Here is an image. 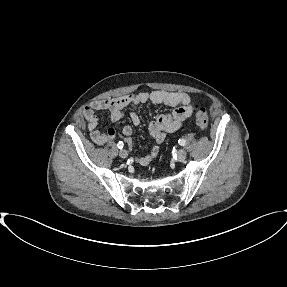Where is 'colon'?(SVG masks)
<instances>
[{
	"instance_id": "1",
	"label": "colon",
	"mask_w": 287,
	"mask_h": 287,
	"mask_svg": "<svg viewBox=\"0 0 287 287\" xmlns=\"http://www.w3.org/2000/svg\"><path fill=\"white\" fill-rule=\"evenodd\" d=\"M193 109L197 126L200 130L205 131L208 127V112L206 108L200 104H195Z\"/></svg>"
}]
</instances>
